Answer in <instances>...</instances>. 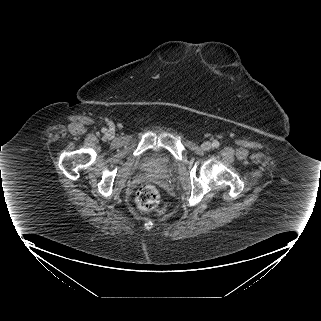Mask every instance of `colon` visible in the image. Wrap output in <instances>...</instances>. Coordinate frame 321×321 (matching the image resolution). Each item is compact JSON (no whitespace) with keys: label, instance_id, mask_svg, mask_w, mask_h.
<instances>
[{"label":"colon","instance_id":"colon-1","mask_svg":"<svg viewBox=\"0 0 321 321\" xmlns=\"http://www.w3.org/2000/svg\"><path fill=\"white\" fill-rule=\"evenodd\" d=\"M137 206L144 212H161L160 193L151 184H143L139 187L136 194Z\"/></svg>","mask_w":321,"mask_h":321}]
</instances>
